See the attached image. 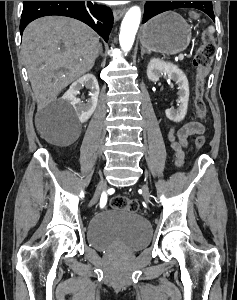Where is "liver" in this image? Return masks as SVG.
Wrapping results in <instances>:
<instances>
[{
  "label": "liver",
  "instance_id": "obj_1",
  "mask_svg": "<svg viewBox=\"0 0 237 300\" xmlns=\"http://www.w3.org/2000/svg\"><path fill=\"white\" fill-rule=\"evenodd\" d=\"M98 35L69 17H42L26 27L22 55L38 103L54 99L67 85L92 69Z\"/></svg>",
  "mask_w": 237,
  "mask_h": 300
}]
</instances>
